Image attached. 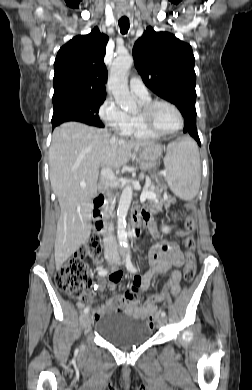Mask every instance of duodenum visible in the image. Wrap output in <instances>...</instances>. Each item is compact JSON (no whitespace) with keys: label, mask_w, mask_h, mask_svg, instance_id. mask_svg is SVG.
I'll return each instance as SVG.
<instances>
[{"label":"duodenum","mask_w":252,"mask_h":390,"mask_svg":"<svg viewBox=\"0 0 252 390\" xmlns=\"http://www.w3.org/2000/svg\"><path fill=\"white\" fill-rule=\"evenodd\" d=\"M106 203V195L101 193L93 199V217L95 218V229L103 236L107 234L108 222L102 216V208ZM145 225L142 218V209H135L131 214V236L137 239L140 236V230ZM146 226V225H145Z\"/></svg>","instance_id":"duodenum-1"}]
</instances>
